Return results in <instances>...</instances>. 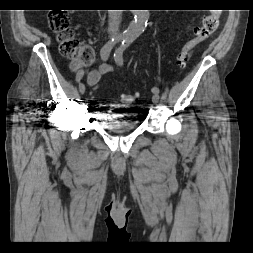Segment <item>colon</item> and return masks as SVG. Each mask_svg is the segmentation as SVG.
Returning a JSON list of instances; mask_svg holds the SVG:
<instances>
[{"instance_id": "colon-1", "label": "colon", "mask_w": 253, "mask_h": 253, "mask_svg": "<svg viewBox=\"0 0 253 253\" xmlns=\"http://www.w3.org/2000/svg\"><path fill=\"white\" fill-rule=\"evenodd\" d=\"M219 16L217 11H213L204 17L201 26L195 31V36L186 42L177 55L176 62L179 67H185L195 48L214 34L219 25ZM50 27L60 40L61 53L72 60L76 69L92 63L94 60L93 50L88 46L80 44L72 36L70 21L65 12L51 13ZM138 97V93L128 92L121 94L120 100L124 104H132L138 100Z\"/></svg>"}]
</instances>
